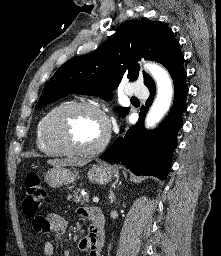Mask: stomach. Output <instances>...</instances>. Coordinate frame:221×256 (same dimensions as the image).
<instances>
[{"instance_id": "0dacf381", "label": "stomach", "mask_w": 221, "mask_h": 256, "mask_svg": "<svg viewBox=\"0 0 221 256\" xmlns=\"http://www.w3.org/2000/svg\"><path fill=\"white\" fill-rule=\"evenodd\" d=\"M117 174L118 169L116 167L102 164L93 166L88 171L87 176L91 182L99 185H105L109 183ZM77 178H79L78 172L62 166L50 169L45 175L46 183L52 188L71 184Z\"/></svg>"}]
</instances>
